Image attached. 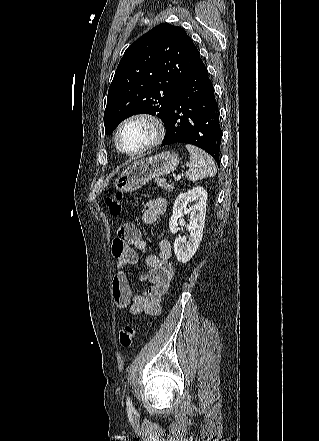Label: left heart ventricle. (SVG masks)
Returning a JSON list of instances; mask_svg holds the SVG:
<instances>
[{
    "mask_svg": "<svg viewBox=\"0 0 319 441\" xmlns=\"http://www.w3.org/2000/svg\"><path fill=\"white\" fill-rule=\"evenodd\" d=\"M151 128L143 122H134L124 128L120 141L125 150L134 151L145 145L151 138Z\"/></svg>",
    "mask_w": 319,
    "mask_h": 441,
    "instance_id": "b2bd125f",
    "label": "left heart ventricle"
}]
</instances>
